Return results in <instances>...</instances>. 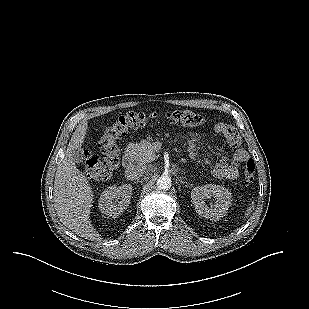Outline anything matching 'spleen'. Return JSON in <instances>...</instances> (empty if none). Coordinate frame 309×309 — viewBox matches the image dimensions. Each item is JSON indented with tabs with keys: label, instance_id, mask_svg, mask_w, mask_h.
Masks as SVG:
<instances>
[{
	"label": "spleen",
	"instance_id": "obj_1",
	"mask_svg": "<svg viewBox=\"0 0 309 309\" xmlns=\"http://www.w3.org/2000/svg\"><path fill=\"white\" fill-rule=\"evenodd\" d=\"M250 212H251V208L247 209L246 215L248 216L250 214Z\"/></svg>",
	"mask_w": 309,
	"mask_h": 309
}]
</instances>
